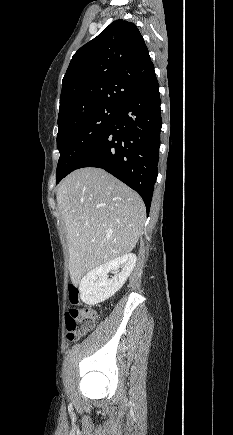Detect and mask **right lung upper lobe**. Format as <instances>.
Returning <instances> with one entry per match:
<instances>
[{"label": "right lung upper lobe", "mask_w": 233, "mask_h": 435, "mask_svg": "<svg viewBox=\"0 0 233 435\" xmlns=\"http://www.w3.org/2000/svg\"><path fill=\"white\" fill-rule=\"evenodd\" d=\"M155 75L137 26L116 20L72 57L62 81L58 123L99 106H117Z\"/></svg>", "instance_id": "obj_1"}]
</instances>
